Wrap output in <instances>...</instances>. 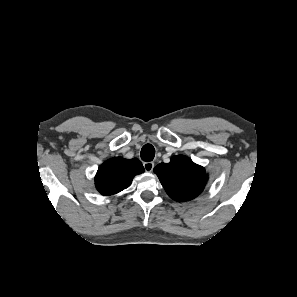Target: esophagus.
Here are the masks:
<instances>
[{
    "mask_svg": "<svg viewBox=\"0 0 297 297\" xmlns=\"http://www.w3.org/2000/svg\"><path fill=\"white\" fill-rule=\"evenodd\" d=\"M143 167L146 171L151 172L154 168V163L153 162H144Z\"/></svg>",
    "mask_w": 297,
    "mask_h": 297,
    "instance_id": "esophagus-1",
    "label": "esophagus"
}]
</instances>
